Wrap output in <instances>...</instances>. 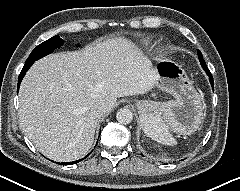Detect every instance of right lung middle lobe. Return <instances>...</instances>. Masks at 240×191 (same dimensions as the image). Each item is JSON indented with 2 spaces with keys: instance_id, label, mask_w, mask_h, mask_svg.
<instances>
[{
  "instance_id": "dd1d6c3e",
  "label": "right lung middle lobe",
  "mask_w": 240,
  "mask_h": 191,
  "mask_svg": "<svg viewBox=\"0 0 240 191\" xmlns=\"http://www.w3.org/2000/svg\"><path fill=\"white\" fill-rule=\"evenodd\" d=\"M63 44V40L59 36H54L38 45L26 60L27 63H34L38 59L52 53L56 48Z\"/></svg>"
}]
</instances>
